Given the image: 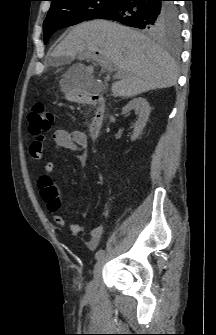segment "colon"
<instances>
[{"label": "colon", "instance_id": "5ec220e1", "mask_svg": "<svg viewBox=\"0 0 216 335\" xmlns=\"http://www.w3.org/2000/svg\"><path fill=\"white\" fill-rule=\"evenodd\" d=\"M29 132L37 137H43L42 134L47 132L53 125L54 115L45 109L44 105H36L28 115ZM55 193L52 188L43 191V197L46 201L53 200ZM54 201V200H53ZM57 206V203H55Z\"/></svg>", "mask_w": 216, "mask_h": 335}]
</instances>
